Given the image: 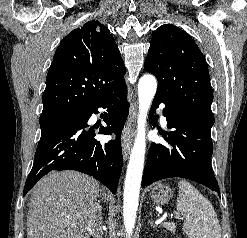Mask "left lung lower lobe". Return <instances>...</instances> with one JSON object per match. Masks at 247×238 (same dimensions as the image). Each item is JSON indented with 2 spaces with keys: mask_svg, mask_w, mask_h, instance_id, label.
I'll return each instance as SVG.
<instances>
[{
  "mask_svg": "<svg viewBox=\"0 0 247 238\" xmlns=\"http://www.w3.org/2000/svg\"><path fill=\"white\" fill-rule=\"evenodd\" d=\"M165 104L163 114L170 129L165 135L169 146L152 143L142 177V187L172 177L190 179L219 194V187L210 163L213 143L211 126L200 119L166 105L155 95L151 111ZM150 111V113H151Z\"/></svg>",
  "mask_w": 247,
  "mask_h": 238,
  "instance_id": "obj_1",
  "label": "left lung lower lobe"
}]
</instances>
